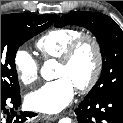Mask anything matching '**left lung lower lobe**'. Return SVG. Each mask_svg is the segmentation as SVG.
Instances as JSON below:
<instances>
[{"label":"left lung lower lobe","instance_id":"0a47b994","mask_svg":"<svg viewBox=\"0 0 123 123\" xmlns=\"http://www.w3.org/2000/svg\"><path fill=\"white\" fill-rule=\"evenodd\" d=\"M75 113L78 123H123V92L85 97Z\"/></svg>","mask_w":123,"mask_h":123}]
</instances>
